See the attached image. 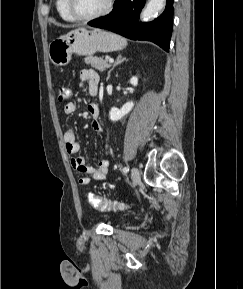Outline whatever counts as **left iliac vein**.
I'll use <instances>...</instances> for the list:
<instances>
[{"mask_svg": "<svg viewBox=\"0 0 243 289\" xmlns=\"http://www.w3.org/2000/svg\"><path fill=\"white\" fill-rule=\"evenodd\" d=\"M131 178H132V187L137 186L140 182V172L136 167L132 168Z\"/></svg>", "mask_w": 243, "mask_h": 289, "instance_id": "left-iliac-vein-1", "label": "left iliac vein"}]
</instances>
